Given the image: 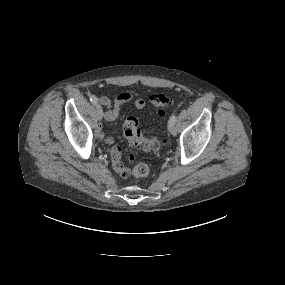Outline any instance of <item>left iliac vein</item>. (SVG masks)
<instances>
[{
	"mask_svg": "<svg viewBox=\"0 0 285 285\" xmlns=\"http://www.w3.org/2000/svg\"><path fill=\"white\" fill-rule=\"evenodd\" d=\"M168 130L172 135H175L177 133V128L175 126V123L172 121H169L168 123Z\"/></svg>",
	"mask_w": 285,
	"mask_h": 285,
	"instance_id": "obj_1",
	"label": "left iliac vein"
}]
</instances>
